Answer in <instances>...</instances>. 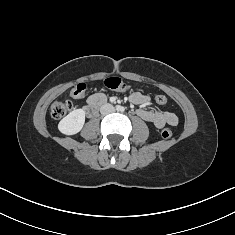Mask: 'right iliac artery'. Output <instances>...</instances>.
<instances>
[{
  "mask_svg": "<svg viewBox=\"0 0 235 235\" xmlns=\"http://www.w3.org/2000/svg\"><path fill=\"white\" fill-rule=\"evenodd\" d=\"M116 109L118 110V109H119V106H116Z\"/></svg>",
  "mask_w": 235,
  "mask_h": 235,
  "instance_id": "1",
  "label": "right iliac artery"
}]
</instances>
